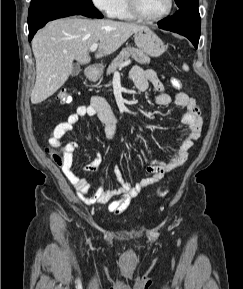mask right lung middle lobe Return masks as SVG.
<instances>
[{
  "label": "right lung middle lobe",
  "mask_w": 243,
  "mask_h": 289,
  "mask_svg": "<svg viewBox=\"0 0 243 289\" xmlns=\"http://www.w3.org/2000/svg\"><path fill=\"white\" fill-rule=\"evenodd\" d=\"M72 1L81 2V3H84V4H92L91 0H72Z\"/></svg>",
  "instance_id": "dd1d6c3e"
}]
</instances>
